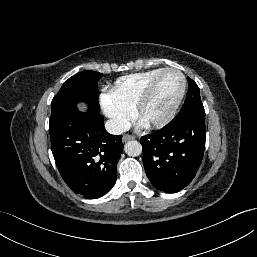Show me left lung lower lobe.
<instances>
[{"label":"left lung lower lobe","mask_w":257,"mask_h":257,"mask_svg":"<svg viewBox=\"0 0 257 257\" xmlns=\"http://www.w3.org/2000/svg\"><path fill=\"white\" fill-rule=\"evenodd\" d=\"M206 140L205 116L174 118L162 129L141 137L148 179L163 192L175 193L195 177Z\"/></svg>","instance_id":"left-lung-lower-lobe-1"}]
</instances>
